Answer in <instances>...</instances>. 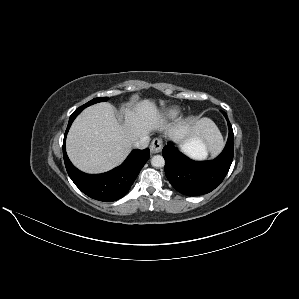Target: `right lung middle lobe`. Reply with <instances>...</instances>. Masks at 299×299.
I'll return each instance as SVG.
<instances>
[{
	"instance_id": "obj_1",
	"label": "right lung middle lobe",
	"mask_w": 299,
	"mask_h": 299,
	"mask_svg": "<svg viewBox=\"0 0 299 299\" xmlns=\"http://www.w3.org/2000/svg\"><path fill=\"white\" fill-rule=\"evenodd\" d=\"M106 100H107V97L94 98V99H92L91 101L87 102L86 104H84L81 107L86 108V107H88V106H90L92 104H95V103H98V102H103V101H106Z\"/></svg>"
}]
</instances>
